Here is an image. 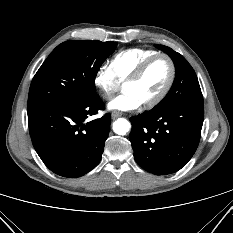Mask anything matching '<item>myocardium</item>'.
Wrapping results in <instances>:
<instances>
[{
  "instance_id": "myocardium-1",
  "label": "myocardium",
  "mask_w": 233,
  "mask_h": 233,
  "mask_svg": "<svg viewBox=\"0 0 233 233\" xmlns=\"http://www.w3.org/2000/svg\"><path fill=\"white\" fill-rule=\"evenodd\" d=\"M159 58H165L168 61L169 65H170V76H169V79H168L165 87L163 88V90L161 91V93L158 96H156L151 101L142 103L143 107L147 108V109L153 108V107L157 106L158 104H160L165 99V97L167 96V94L169 93V91L171 90V88L174 84V81L176 78V67H175V64H174V61L172 60V58L165 53H158L156 55L149 57L148 59L143 61L136 68V70L132 73V75L129 76L123 83V87H124L127 84L137 82L143 76L144 72L149 67V65Z\"/></svg>"
}]
</instances>
